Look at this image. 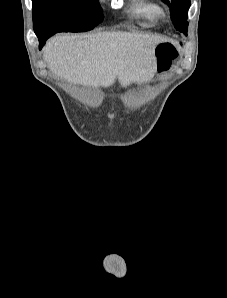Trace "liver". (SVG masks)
<instances>
[{
    "label": "liver",
    "mask_w": 227,
    "mask_h": 298,
    "mask_svg": "<svg viewBox=\"0 0 227 298\" xmlns=\"http://www.w3.org/2000/svg\"><path fill=\"white\" fill-rule=\"evenodd\" d=\"M166 37L124 31L65 34L52 37L43 56L48 68L69 82L122 87L149 82L157 67L155 48Z\"/></svg>",
    "instance_id": "1"
}]
</instances>
